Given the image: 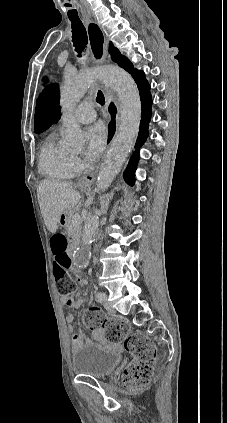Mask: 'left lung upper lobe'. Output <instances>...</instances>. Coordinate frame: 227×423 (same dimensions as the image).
Returning a JSON list of instances; mask_svg holds the SVG:
<instances>
[{"mask_svg": "<svg viewBox=\"0 0 227 423\" xmlns=\"http://www.w3.org/2000/svg\"><path fill=\"white\" fill-rule=\"evenodd\" d=\"M110 53L113 61L117 62L120 67L129 72L138 81L144 73L134 69L133 64L120 52L110 45ZM59 90L58 87H48L37 99L35 111V132L40 133L46 130L51 124L58 122L59 115Z\"/></svg>", "mask_w": 227, "mask_h": 423, "instance_id": "obj_1", "label": "left lung upper lobe"}]
</instances>
